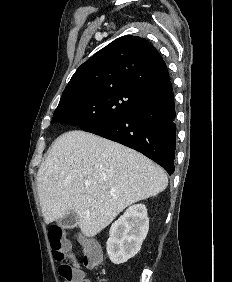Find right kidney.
<instances>
[{"label": "right kidney", "instance_id": "obj_1", "mask_svg": "<svg viewBox=\"0 0 232 282\" xmlns=\"http://www.w3.org/2000/svg\"><path fill=\"white\" fill-rule=\"evenodd\" d=\"M149 230V218L144 204L130 206L110 228L107 254L114 264L125 263L141 249Z\"/></svg>", "mask_w": 232, "mask_h": 282}]
</instances>
